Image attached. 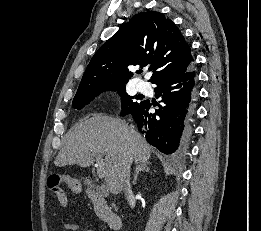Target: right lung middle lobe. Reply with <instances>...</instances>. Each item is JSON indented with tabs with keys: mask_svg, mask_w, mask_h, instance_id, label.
Returning <instances> with one entry per match:
<instances>
[{
	"mask_svg": "<svg viewBox=\"0 0 261 231\" xmlns=\"http://www.w3.org/2000/svg\"><path fill=\"white\" fill-rule=\"evenodd\" d=\"M113 91H117L121 96L122 101V113L121 115H127L130 111L136 109L142 102H136L134 99H138V97L134 98L129 96L125 91V86H120L114 89H109ZM105 90H98L94 92H89L86 94L76 95L73 99V107L76 109L83 108L86 104H88L91 100H93L96 96H98L101 92Z\"/></svg>",
	"mask_w": 261,
	"mask_h": 231,
	"instance_id": "dd1d6c3e",
	"label": "right lung middle lobe"
}]
</instances>
